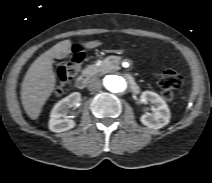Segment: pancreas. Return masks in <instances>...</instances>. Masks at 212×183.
I'll return each instance as SVG.
<instances>
[{"instance_id": "1", "label": "pancreas", "mask_w": 212, "mask_h": 183, "mask_svg": "<svg viewBox=\"0 0 212 183\" xmlns=\"http://www.w3.org/2000/svg\"><path fill=\"white\" fill-rule=\"evenodd\" d=\"M121 61V57L109 56L100 61L98 64L89 66L86 71H89L93 75L113 73L120 69L119 64L121 63Z\"/></svg>"}]
</instances>
